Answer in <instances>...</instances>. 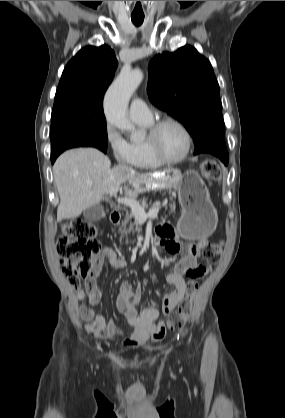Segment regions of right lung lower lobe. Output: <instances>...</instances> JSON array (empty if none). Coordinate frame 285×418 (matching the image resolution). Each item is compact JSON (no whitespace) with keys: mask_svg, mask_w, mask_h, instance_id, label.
I'll return each mask as SVG.
<instances>
[{"mask_svg":"<svg viewBox=\"0 0 285 418\" xmlns=\"http://www.w3.org/2000/svg\"><path fill=\"white\" fill-rule=\"evenodd\" d=\"M57 157L51 158V162L54 163Z\"/></svg>","mask_w":285,"mask_h":418,"instance_id":"right-lung-lower-lobe-1","label":"right lung lower lobe"}]
</instances>
